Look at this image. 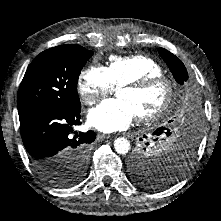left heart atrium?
<instances>
[{
  "label": "left heart atrium",
  "mask_w": 221,
  "mask_h": 221,
  "mask_svg": "<svg viewBox=\"0 0 221 221\" xmlns=\"http://www.w3.org/2000/svg\"><path fill=\"white\" fill-rule=\"evenodd\" d=\"M134 118L131 106L122 99L104 100L88 113L90 125L105 133L126 129Z\"/></svg>",
  "instance_id": "obj_1"
}]
</instances>
